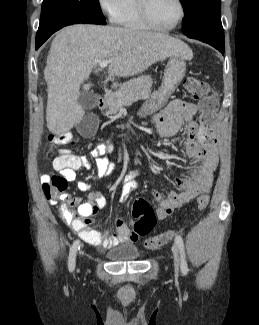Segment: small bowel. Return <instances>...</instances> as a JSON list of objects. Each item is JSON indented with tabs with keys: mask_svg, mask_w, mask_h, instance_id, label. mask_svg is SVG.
I'll use <instances>...</instances> for the list:
<instances>
[{
	"mask_svg": "<svg viewBox=\"0 0 259 325\" xmlns=\"http://www.w3.org/2000/svg\"><path fill=\"white\" fill-rule=\"evenodd\" d=\"M203 114L201 104L199 106L186 102L181 99H174L167 106L154 116V122L158 133L165 138L176 136L183 127L186 128L187 138L185 142L186 156L200 162L198 168L191 173L188 178H178L176 183L182 189L180 193H170L164 197L160 192H152L149 199L158 203L156 216L159 220L165 219L174 210L188 203L198 194L209 192L213 173L218 163L217 151L215 148L216 139L212 133L205 130L202 125L195 121L196 113ZM111 147L106 143L95 146L90 155L95 159L96 177L111 178L115 169V163L105 158L106 154L111 153ZM54 168L70 182H75L80 191L90 189L86 181H76V172L81 168H91L92 164L86 156H77L71 152H65L55 158ZM139 172L131 171L120 180L121 193L120 201L127 199L129 194L136 190L138 183L136 177ZM48 175L42 176V181L48 179ZM61 200L71 207H78V215L75 216L66 205L61 207V215L68 225L86 243L99 249H108L120 243H134L138 235L131 226L122 219H115V229L107 228L101 232L99 227H91L89 216L95 214L98 209L105 207L107 200L100 191H93L88 196V202L83 203L80 198L62 194Z\"/></svg>",
	"mask_w": 259,
	"mask_h": 325,
	"instance_id": "1",
	"label": "small bowel"
}]
</instances>
